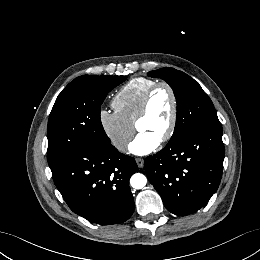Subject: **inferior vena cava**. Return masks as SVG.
Returning <instances> with one entry per match:
<instances>
[{
	"label": "inferior vena cava",
	"mask_w": 260,
	"mask_h": 260,
	"mask_svg": "<svg viewBox=\"0 0 260 260\" xmlns=\"http://www.w3.org/2000/svg\"><path fill=\"white\" fill-rule=\"evenodd\" d=\"M121 144H125V142L122 141ZM121 144H118L117 147L120 148V147H121Z\"/></svg>",
	"instance_id": "1"
}]
</instances>
